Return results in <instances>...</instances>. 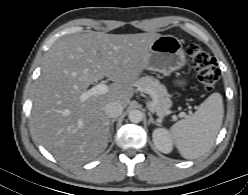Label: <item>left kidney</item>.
<instances>
[{"label": "left kidney", "mask_w": 248, "mask_h": 195, "mask_svg": "<svg viewBox=\"0 0 248 195\" xmlns=\"http://www.w3.org/2000/svg\"><path fill=\"white\" fill-rule=\"evenodd\" d=\"M155 147L162 153H170L173 149V143L169 133L164 128H158L152 134Z\"/></svg>", "instance_id": "left-kidney-1"}]
</instances>
